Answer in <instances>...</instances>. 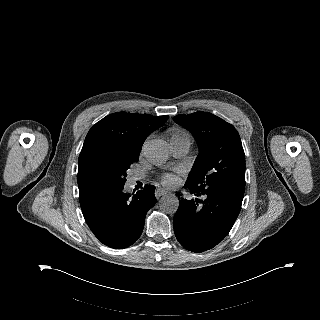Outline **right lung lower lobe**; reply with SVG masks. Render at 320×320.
<instances>
[{
	"mask_svg": "<svg viewBox=\"0 0 320 320\" xmlns=\"http://www.w3.org/2000/svg\"><path fill=\"white\" fill-rule=\"evenodd\" d=\"M79 187L83 216L94 235L106 246L123 249L141 235L147 211L155 205V186L146 185L133 196L124 184L90 180Z\"/></svg>",
	"mask_w": 320,
	"mask_h": 320,
	"instance_id": "1",
	"label": "right lung lower lobe"
}]
</instances>
